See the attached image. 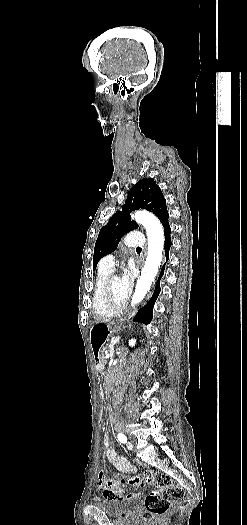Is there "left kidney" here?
Masks as SVG:
<instances>
[{
    "mask_svg": "<svg viewBox=\"0 0 247 525\" xmlns=\"http://www.w3.org/2000/svg\"><path fill=\"white\" fill-rule=\"evenodd\" d=\"M136 345V339H131V341H129V347H135Z\"/></svg>",
    "mask_w": 247,
    "mask_h": 525,
    "instance_id": "obj_1",
    "label": "left kidney"
}]
</instances>
